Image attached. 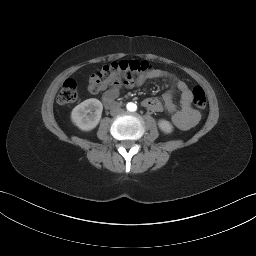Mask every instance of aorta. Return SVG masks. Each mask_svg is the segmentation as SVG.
Instances as JSON below:
<instances>
[{"label":"aorta","instance_id":"obj_1","mask_svg":"<svg viewBox=\"0 0 256 256\" xmlns=\"http://www.w3.org/2000/svg\"><path fill=\"white\" fill-rule=\"evenodd\" d=\"M127 109H128L129 111H135V110H136V105L133 104V103H129V104L127 105Z\"/></svg>","mask_w":256,"mask_h":256}]
</instances>
